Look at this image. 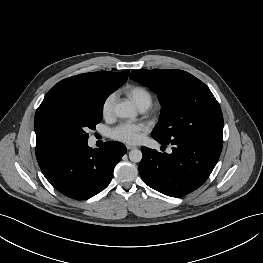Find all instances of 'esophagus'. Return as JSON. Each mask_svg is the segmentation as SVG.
Instances as JSON below:
<instances>
[{"label": "esophagus", "mask_w": 263, "mask_h": 263, "mask_svg": "<svg viewBox=\"0 0 263 263\" xmlns=\"http://www.w3.org/2000/svg\"><path fill=\"white\" fill-rule=\"evenodd\" d=\"M128 150L136 149L137 147L134 145H126Z\"/></svg>", "instance_id": "34e87169"}]
</instances>
